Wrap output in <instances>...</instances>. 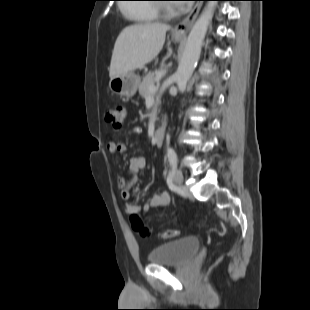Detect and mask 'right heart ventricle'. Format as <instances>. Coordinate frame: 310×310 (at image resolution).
<instances>
[{
    "instance_id": "right-heart-ventricle-1",
    "label": "right heart ventricle",
    "mask_w": 310,
    "mask_h": 310,
    "mask_svg": "<svg viewBox=\"0 0 310 310\" xmlns=\"http://www.w3.org/2000/svg\"><path fill=\"white\" fill-rule=\"evenodd\" d=\"M157 5H140L123 7V12L139 23H149L158 18Z\"/></svg>"
}]
</instances>
